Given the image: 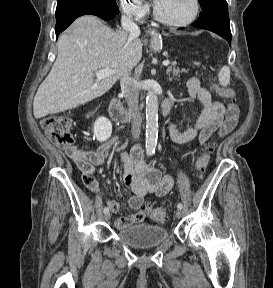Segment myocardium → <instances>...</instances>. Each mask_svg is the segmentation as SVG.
I'll return each mask as SVG.
<instances>
[{
	"label": "myocardium",
	"instance_id": "1",
	"mask_svg": "<svg viewBox=\"0 0 273 288\" xmlns=\"http://www.w3.org/2000/svg\"><path fill=\"white\" fill-rule=\"evenodd\" d=\"M194 2V11L193 13L190 15V17H188L185 20L182 21H173V20H169L164 18L162 15H160V13L157 11V9L154 6L153 9V16L155 18V20L163 25L169 26V27H185L189 24H191L199 15L200 12V0H193Z\"/></svg>",
	"mask_w": 273,
	"mask_h": 288
}]
</instances>
